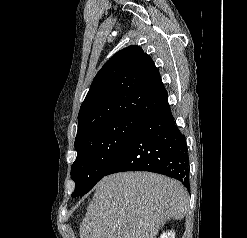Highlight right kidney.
Returning <instances> with one entry per match:
<instances>
[{
  "label": "right kidney",
  "mask_w": 247,
  "mask_h": 238,
  "mask_svg": "<svg viewBox=\"0 0 247 238\" xmlns=\"http://www.w3.org/2000/svg\"><path fill=\"white\" fill-rule=\"evenodd\" d=\"M160 238H175V233L172 231L163 233Z\"/></svg>",
  "instance_id": "obj_1"
}]
</instances>
